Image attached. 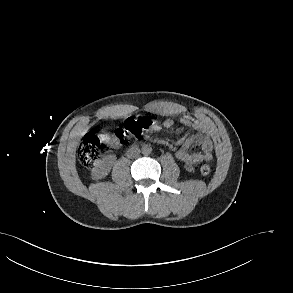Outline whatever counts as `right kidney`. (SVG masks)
<instances>
[{
    "label": "right kidney",
    "mask_w": 293,
    "mask_h": 293,
    "mask_svg": "<svg viewBox=\"0 0 293 293\" xmlns=\"http://www.w3.org/2000/svg\"><path fill=\"white\" fill-rule=\"evenodd\" d=\"M109 172V165L107 164V162H103L101 164H99L93 171V176L95 178H101L105 175H107Z\"/></svg>",
    "instance_id": "ca27d5eb"
}]
</instances>
